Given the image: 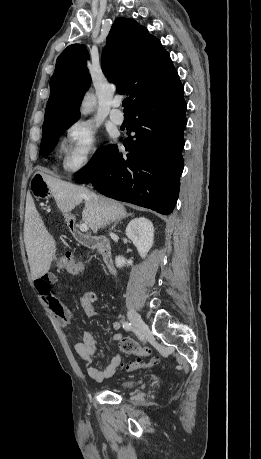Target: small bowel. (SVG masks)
Listing matches in <instances>:
<instances>
[{"mask_svg":"<svg viewBox=\"0 0 261 459\" xmlns=\"http://www.w3.org/2000/svg\"><path fill=\"white\" fill-rule=\"evenodd\" d=\"M57 282L58 277L55 274L46 273L36 278L34 280V285L37 292L40 294L45 304L49 307L59 325L62 327H68L75 321V317L71 312L67 311L62 306L57 295L54 293L52 286ZM87 292L90 291L84 290L82 292L80 304L84 313L91 317L96 314V310L93 304H89L84 300V295ZM112 328L114 330L112 339L114 341L121 340L122 334L119 332L121 329V323L119 321H114L112 323ZM74 350L80 359L84 362L88 376L96 382H102L105 379L111 377L115 373L118 366L121 364V355L116 353L110 360L109 364L105 367V369L100 370L96 367H93L91 364L98 354V348L94 337L88 331L80 332L78 340L74 343Z\"/></svg>","mask_w":261,"mask_h":459,"instance_id":"obj_1","label":"small bowel"}]
</instances>
